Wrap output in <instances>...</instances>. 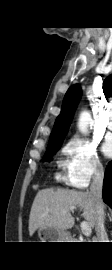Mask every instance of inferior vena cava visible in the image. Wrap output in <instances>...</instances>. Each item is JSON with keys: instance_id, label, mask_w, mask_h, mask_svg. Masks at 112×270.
I'll list each match as a JSON object with an SVG mask.
<instances>
[{"instance_id": "602c4592", "label": "inferior vena cava", "mask_w": 112, "mask_h": 270, "mask_svg": "<svg viewBox=\"0 0 112 270\" xmlns=\"http://www.w3.org/2000/svg\"><path fill=\"white\" fill-rule=\"evenodd\" d=\"M104 179V170L101 165L96 167L94 172L93 181L90 186V195L95 203L96 208V222L95 231L97 235L98 242H108V237L104 228V205L102 201V187Z\"/></svg>"}]
</instances>
